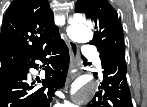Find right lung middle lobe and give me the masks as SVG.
Masks as SVG:
<instances>
[{"label": "right lung middle lobe", "instance_id": "dd1d6c3e", "mask_svg": "<svg viewBox=\"0 0 147 107\" xmlns=\"http://www.w3.org/2000/svg\"><path fill=\"white\" fill-rule=\"evenodd\" d=\"M11 69H12V68L0 70V76H1L2 74H4L5 72L11 70Z\"/></svg>", "mask_w": 147, "mask_h": 107}]
</instances>
